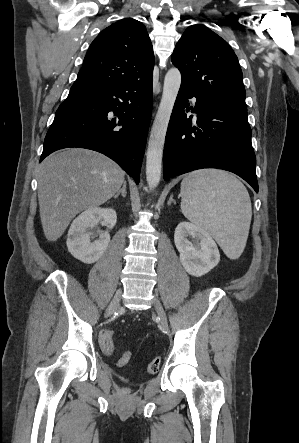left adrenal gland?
Listing matches in <instances>:
<instances>
[{"label":"left adrenal gland","instance_id":"obj_1","mask_svg":"<svg viewBox=\"0 0 299 443\" xmlns=\"http://www.w3.org/2000/svg\"><path fill=\"white\" fill-rule=\"evenodd\" d=\"M172 202H173L174 204H176L175 201L173 200V195L170 196V199H169V201H168V205L170 206Z\"/></svg>","mask_w":299,"mask_h":443}]
</instances>
